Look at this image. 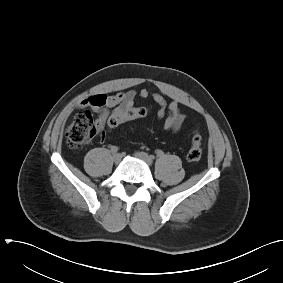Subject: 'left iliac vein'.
Wrapping results in <instances>:
<instances>
[{
	"label": "left iliac vein",
	"mask_w": 283,
	"mask_h": 283,
	"mask_svg": "<svg viewBox=\"0 0 283 283\" xmlns=\"http://www.w3.org/2000/svg\"><path fill=\"white\" fill-rule=\"evenodd\" d=\"M135 157L144 161L147 165H152L153 160L152 158L145 152H136Z\"/></svg>",
	"instance_id": "1"
}]
</instances>
